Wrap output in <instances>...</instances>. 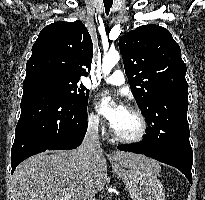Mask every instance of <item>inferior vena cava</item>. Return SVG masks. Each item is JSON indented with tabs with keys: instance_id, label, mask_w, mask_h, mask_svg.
<instances>
[{
	"instance_id": "602c4592",
	"label": "inferior vena cava",
	"mask_w": 205,
	"mask_h": 200,
	"mask_svg": "<svg viewBox=\"0 0 205 200\" xmlns=\"http://www.w3.org/2000/svg\"><path fill=\"white\" fill-rule=\"evenodd\" d=\"M99 148L98 121H90L84 140L78 148V153L84 156L85 162L88 163L91 156L94 155ZM95 193L96 192L92 190L89 195V200H96Z\"/></svg>"
}]
</instances>
